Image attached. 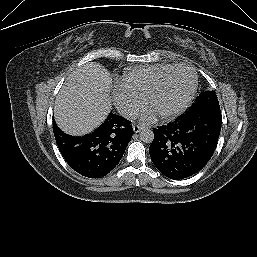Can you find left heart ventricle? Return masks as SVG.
Here are the masks:
<instances>
[{
    "label": "left heart ventricle",
    "mask_w": 257,
    "mask_h": 257,
    "mask_svg": "<svg viewBox=\"0 0 257 257\" xmlns=\"http://www.w3.org/2000/svg\"><path fill=\"white\" fill-rule=\"evenodd\" d=\"M192 79V74L187 69L172 72L154 96L151 109L156 113H161L176 107L189 92Z\"/></svg>",
    "instance_id": "1"
}]
</instances>
